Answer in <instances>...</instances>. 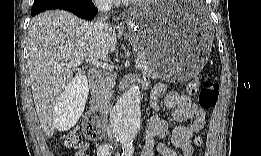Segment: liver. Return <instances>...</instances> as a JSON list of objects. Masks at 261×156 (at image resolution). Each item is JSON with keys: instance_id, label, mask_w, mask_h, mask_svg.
Instances as JSON below:
<instances>
[{"instance_id": "obj_1", "label": "liver", "mask_w": 261, "mask_h": 156, "mask_svg": "<svg viewBox=\"0 0 261 156\" xmlns=\"http://www.w3.org/2000/svg\"><path fill=\"white\" fill-rule=\"evenodd\" d=\"M92 23L72 13L51 10L35 16L28 29V67L36 112L47 138L54 130L66 131L77 122L83 110L81 96L74 97L73 116L63 114L65 94L73 77L68 64L102 59L98 41L91 32ZM117 45L115 28L109 26L104 46L108 53Z\"/></svg>"}]
</instances>
